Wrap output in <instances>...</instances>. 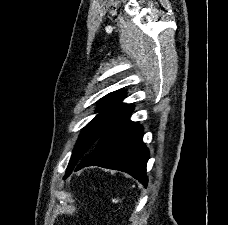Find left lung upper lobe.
<instances>
[{"label": "left lung upper lobe", "instance_id": "left-lung-upper-lobe-1", "mask_svg": "<svg viewBox=\"0 0 228 225\" xmlns=\"http://www.w3.org/2000/svg\"><path fill=\"white\" fill-rule=\"evenodd\" d=\"M124 97L125 91L119 90L109 93L100 100L97 108L99 114L83 128L72 152L64 179L93 150L103 133L133 110L132 104L121 103Z\"/></svg>", "mask_w": 228, "mask_h": 225}]
</instances>
